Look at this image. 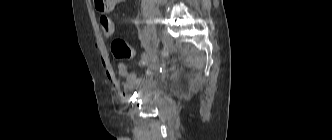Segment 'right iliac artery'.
<instances>
[{"label": "right iliac artery", "instance_id": "1", "mask_svg": "<svg viewBox=\"0 0 332 140\" xmlns=\"http://www.w3.org/2000/svg\"><path fill=\"white\" fill-rule=\"evenodd\" d=\"M151 24L152 22L151 21H146V26L144 27V30H143V37H144V40L145 41H149V37H150V29H151Z\"/></svg>", "mask_w": 332, "mask_h": 140}]
</instances>
